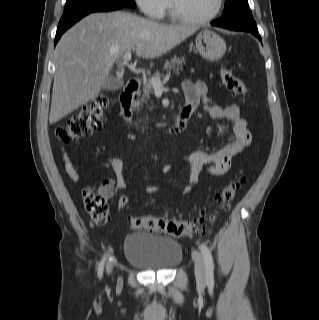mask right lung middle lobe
<instances>
[{"instance_id":"dd1d6c3e","label":"right lung middle lobe","mask_w":319,"mask_h":320,"mask_svg":"<svg viewBox=\"0 0 319 320\" xmlns=\"http://www.w3.org/2000/svg\"><path fill=\"white\" fill-rule=\"evenodd\" d=\"M117 5L136 7L134 0H67L59 25L92 9Z\"/></svg>"}]
</instances>
